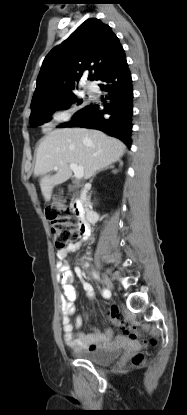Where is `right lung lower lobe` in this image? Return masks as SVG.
Here are the masks:
<instances>
[{
	"label": "right lung lower lobe",
	"mask_w": 187,
	"mask_h": 415,
	"mask_svg": "<svg viewBox=\"0 0 187 415\" xmlns=\"http://www.w3.org/2000/svg\"><path fill=\"white\" fill-rule=\"evenodd\" d=\"M95 80L100 81L101 90L108 92L104 108L101 110L99 104L91 103L79 110L72 121L59 127L101 130L130 147L133 90L125 52L122 51Z\"/></svg>",
	"instance_id": "right-lung-lower-lobe-1"
}]
</instances>
